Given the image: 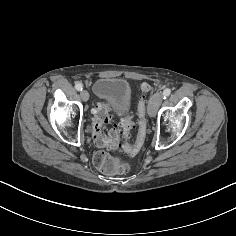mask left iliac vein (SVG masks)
Returning a JSON list of instances; mask_svg holds the SVG:
<instances>
[{
	"instance_id": "4c4485c4",
	"label": "left iliac vein",
	"mask_w": 236,
	"mask_h": 236,
	"mask_svg": "<svg viewBox=\"0 0 236 236\" xmlns=\"http://www.w3.org/2000/svg\"><path fill=\"white\" fill-rule=\"evenodd\" d=\"M162 100L163 94L161 92H157L151 96L148 104V114L150 117L156 116L158 108L162 103Z\"/></svg>"
}]
</instances>
